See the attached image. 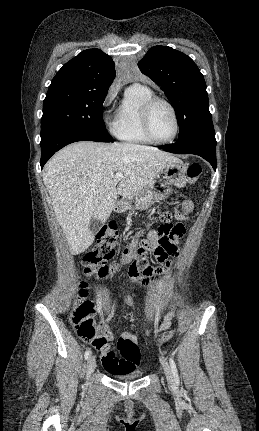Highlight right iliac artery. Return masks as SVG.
<instances>
[{
	"instance_id": "obj_1",
	"label": "right iliac artery",
	"mask_w": 259,
	"mask_h": 431,
	"mask_svg": "<svg viewBox=\"0 0 259 431\" xmlns=\"http://www.w3.org/2000/svg\"><path fill=\"white\" fill-rule=\"evenodd\" d=\"M90 354H91V351H90L89 349H87V350L85 351V353H84V357H85V359H88V358H89V356H90Z\"/></svg>"
}]
</instances>
